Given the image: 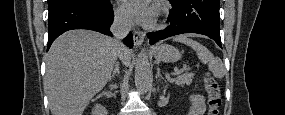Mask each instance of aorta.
I'll return each mask as SVG.
<instances>
[{
	"label": "aorta",
	"mask_w": 285,
	"mask_h": 115,
	"mask_svg": "<svg viewBox=\"0 0 285 115\" xmlns=\"http://www.w3.org/2000/svg\"><path fill=\"white\" fill-rule=\"evenodd\" d=\"M152 83V75L150 69V63L148 56L143 49L138 55L137 62L135 65V85L136 88L142 92L146 93Z\"/></svg>",
	"instance_id": "obj_1"
}]
</instances>
